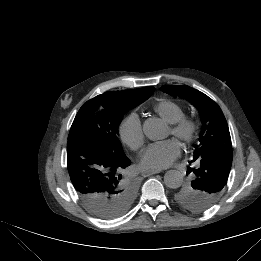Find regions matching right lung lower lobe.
Here are the masks:
<instances>
[{
	"label": "right lung lower lobe",
	"mask_w": 261,
	"mask_h": 261,
	"mask_svg": "<svg viewBox=\"0 0 261 261\" xmlns=\"http://www.w3.org/2000/svg\"><path fill=\"white\" fill-rule=\"evenodd\" d=\"M130 163L124 152L103 149L88 138L68 140V171L81 199L89 198L99 187L113 185Z\"/></svg>",
	"instance_id": "obj_1"
}]
</instances>
